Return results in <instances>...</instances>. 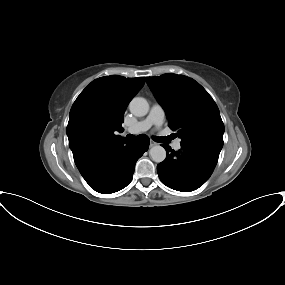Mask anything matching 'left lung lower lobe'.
Wrapping results in <instances>:
<instances>
[{"label": "left lung lower lobe", "mask_w": 285, "mask_h": 285, "mask_svg": "<svg viewBox=\"0 0 285 285\" xmlns=\"http://www.w3.org/2000/svg\"><path fill=\"white\" fill-rule=\"evenodd\" d=\"M166 159L157 165L158 176L166 186L182 192L196 190L211 176L219 154L200 148L181 145L178 151L162 145Z\"/></svg>", "instance_id": "0a47b994"}]
</instances>
